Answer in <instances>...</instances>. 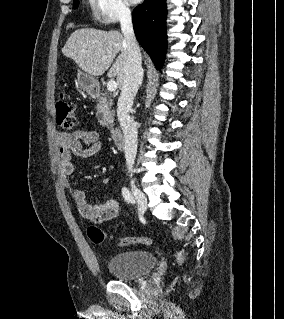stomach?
Returning <instances> with one entry per match:
<instances>
[{
    "mask_svg": "<svg viewBox=\"0 0 284 319\" xmlns=\"http://www.w3.org/2000/svg\"><path fill=\"white\" fill-rule=\"evenodd\" d=\"M77 83L88 94L93 93L98 86V81L94 77L82 71H79L77 74Z\"/></svg>",
    "mask_w": 284,
    "mask_h": 319,
    "instance_id": "stomach-1",
    "label": "stomach"
}]
</instances>
